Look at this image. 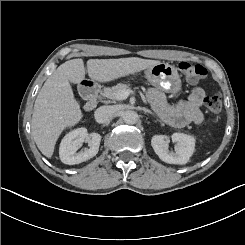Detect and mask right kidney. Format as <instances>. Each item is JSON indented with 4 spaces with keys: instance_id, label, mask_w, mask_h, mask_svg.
Masks as SVG:
<instances>
[{
    "instance_id": "obj_1",
    "label": "right kidney",
    "mask_w": 245,
    "mask_h": 245,
    "mask_svg": "<svg viewBox=\"0 0 245 245\" xmlns=\"http://www.w3.org/2000/svg\"><path fill=\"white\" fill-rule=\"evenodd\" d=\"M88 145L79 153L76 151L83 145L84 140ZM101 136L99 134L88 135L85 127H78L68 132L61 140L59 145V158L62 163L74 165L84 162L98 152Z\"/></svg>"
}]
</instances>
